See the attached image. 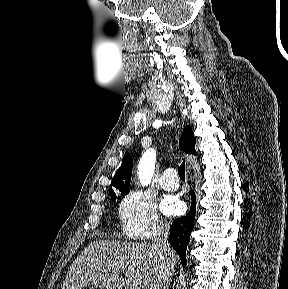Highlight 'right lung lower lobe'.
<instances>
[{"instance_id": "right-lung-lower-lobe-1", "label": "right lung lower lobe", "mask_w": 288, "mask_h": 289, "mask_svg": "<svg viewBox=\"0 0 288 289\" xmlns=\"http://www.w3.org/2000/svg\"><path fill=\"white\" fill-rule=\"evenodd\" d=\"M195 208L196 200L193 193L190 212L174 220L170 230V244L178 253L183 266H185L186 263V249L190 241L191 231L193 230Z\"/></svg>"}]
</instances>
